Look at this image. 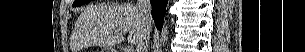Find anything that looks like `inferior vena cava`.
Masks as SVG:
<instances>
[{
  "instance_id": "602c4592",
  "label": "inferior vena cava",
  "mask_w": 305,
  "mask_h": 52,
  "mask_svg": "<svg viewBox=\"0 0 305 52\" xmlns=\"http://www.w3.org/2000/svg\"><path fill=\"white\" fill-rule=\"evenodd\" d=\"M136 8L139 12L140 19L144 25L145 32L143 39L137 44V52H148L150 31L152 25L151 15V1L150 0H137Z\"/></svg>"
}]
</instances>
